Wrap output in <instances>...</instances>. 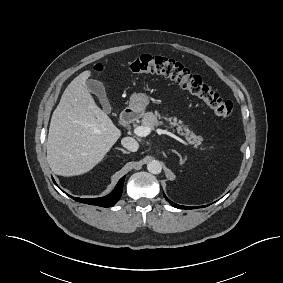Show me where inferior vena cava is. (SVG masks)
I'll return each instance as SVG.
<instances>
[{"label": "inferior vena cava", "instance_id": "602c4592", "mask_svg": "<svg viewBox=\"0 0 283 283\" xmlns=\"http://www.w3.org/2000/svg\"><path fill=\"white\" fill-rule=\"evenodd\" d=\"M121 144L131 152H136L139 148L138 142L132 137H124L121 140Z\"/></svg>", "mask_w": 283, "mask_h": 283}]
</instances>
